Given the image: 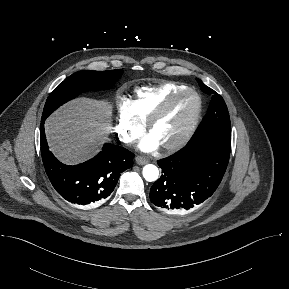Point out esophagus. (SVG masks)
<instances>
[{
  "mask_svg": "<svg viewBox=\"0 0 289 289\" xmlns=\"http://www.w3.org/2000/svg\"><path fill=\"white\" fill-rule=\"evenodd\" d=\"M136 162L139 165H144V164L148 163V160L146 158L142 157V156H137L136 157Z\"/></svg>",
  "mask_w": 289,
  "mask_h": 289,
  "instance_id": "obj_1",
  "label": "esophagus"
}]
</instances>
